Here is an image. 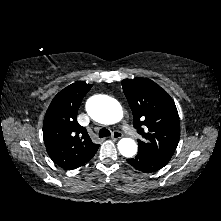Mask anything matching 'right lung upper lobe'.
Returning a JSON list of instances; mask_svg holds the SVG:
<instances>
[{
    "label": "right lung upper lobe",
    "mask_w": 221,
    "mask_h": 221,
    "mask_svg": "<svg viewBox=\"0 0 221 221\" xmlns=\"http://www.w3.org/2000/svg\"><path fill=\"white\" fill-rule=\"evenodd\" d=\"M92 85L77 81L52 100L43 122V137L48 155L58 166L72 170L88 162L97 152L86 128L77 122L83 97Z\"/></svg>",
    "instance_id": "1"
}]
</instances>
